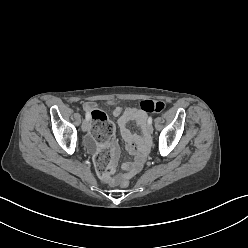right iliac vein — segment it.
Returning a JSON list of instances; mask_svg holds the SVG:
<instances>
[{"instance_id":"obj_1","label":"right iliac vein","mask_w":248,"mask_h":248,"mask_svg":"<svg viewBox=\"0 0 248 248\" xmlns=\"http://www.w3.org/2000/svg\"><path fill=\"white\" fill-rule=\"evenodd\" d=\"M90 128L89 120L85 119L82 123V130L84 132L88 131Z\"/></svg>"}]
</instances>
